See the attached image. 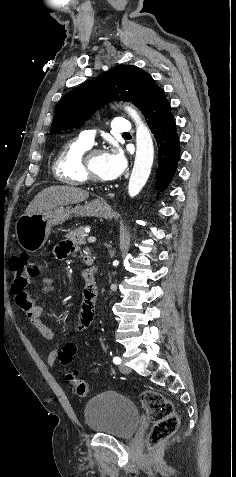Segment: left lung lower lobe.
<instances>
[{
  "mask_svg": "<svg viewBox=\"0 0 236 477\" xmlns=\"http://www.w3.org/2000/svg\"><path fill=\"white\" fill-rule=\"evenodd\" d=\"M147 124L158 144V168L155 187L163 191L173 178L179 159V137L170 104L160 88L145 114Z\"/></svg>",
  "mask_w": 236,
  "mask_h": 477,
  "instance_id": "obj_1",
  "label": "left lung lower lobe"
}]
</instances>
